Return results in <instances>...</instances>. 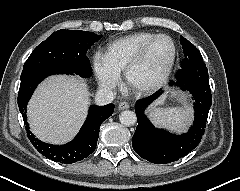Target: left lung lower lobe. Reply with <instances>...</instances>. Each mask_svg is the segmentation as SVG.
<instances>
[{"instance_id":"1","label":"left lung lower lobe","mask_w":240,"mask_h":191,"mask_svg":"<svg viewBox=\"0 0 240 191\" xmlns=\"http://www.w3.org/2000/svg\"><path fill=\"white\" fill-rule=\"evenodd\" d=\"M177 74V82L170 85H178L182 90H188L194 102L195 118L189 131L182 135H174L157 129L144 114L148 107L163 91L140 100L135 105L138 126L132 137L133 149L143 159L155 164H165L177 161L179 158L191 152L201 141L205 131L209 109L212 104L211 89L208 72L190 73L182 65Z\"/></svg>"}]
</instances>
